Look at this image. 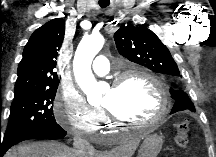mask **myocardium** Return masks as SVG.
<instances>
[{
	"mask_svg": "<svg viewBox=\"0 0 216 157\" xmlns=\"http://www.w3.org/2000/svg\"><path fill=\"white\" fill-rule=\"evenodd\" d=\"M131 77H139L147 80L154 86V88L158 92L160 97V107L156 115L149 120L134 121L120 117L117 114H115L109 107L103 106L104 110L106 111L109 117V120L114 125H131L137 127L156 125L160 123L166 117L169 111L170 102L167 90L153 75L142 69H131L115 77L111 82V88L114 90L118 89L128 78Z\"/></svg>",
	"mask_w": 216,
	"mask_h": 157,
	"instance_id": "1",
	"label": "myocardium"
}]
</instances>
